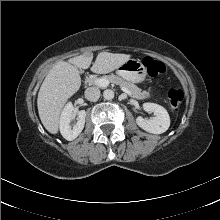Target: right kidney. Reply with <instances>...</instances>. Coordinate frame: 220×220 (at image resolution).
<instances>
[{
    "mask_svg": "<svg viewBox=\"0 0 220 220\" xmlns=\"http://www.w3.org/2000/svg\"><path fill=\"white\" fill-rule=\"evenodd\" d=\"M77 115V123L71 127V120ZM85 110L74 113L72 103H67L60 117V132L61 135L68 141H72L82 132L85 125Z\"/></svg>",
    "mask_w": 220,
    "mask_h": 220,
    "instance_id": "ca27d5eb",
    "label": "right kidney"
}]
</instances>
